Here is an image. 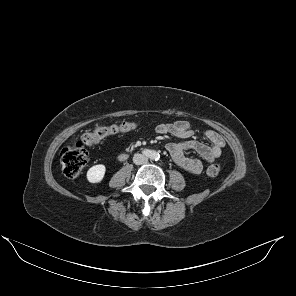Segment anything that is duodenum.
Listing matches in <instances>:
<instances>
[{
  "label": "duodenum",
  "mask_w": 296,
  "mask_h": 296,
  "mask_svg": "<svg viewBox=\"0 0 296 296\" xmlns=\"http://www.w3.org/2000/svg\"><path fill=\"white\" fill-rule=\"evenodd\" d=\"M125 159H126V156L125 155H120L118 157V161H120V162L124 161Z\"/></svg>",
  "instance_id": "1"
}]
</instances>
